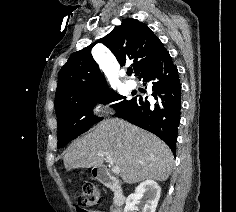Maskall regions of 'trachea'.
Masks as SVG:
<instances>
[{
  "instance_id": "3493384b",
  "label": "trachea",
  "mask_w": 236,
  "mask_h": 212,
  "mask_svg": "<svg viewBox=\"0 0 236 212\" xmlns=\"http://www.w3.org/2000/svg\"><path fill=\"white\" fill-rule=\"evenodd\" d=\"M132 72H133V70H132V69H129V70L127 71V74H128V75H131Z\"/></svg>"
}]
</instances>
